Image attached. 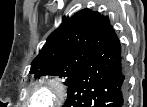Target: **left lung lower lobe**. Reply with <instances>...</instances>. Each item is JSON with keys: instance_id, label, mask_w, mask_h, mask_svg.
Returning <instances> with one entry per match:
<instances>
[{"instance_id": "obj_1", "label": "left lung lower lobe", "mask_w": 147, "mask_h": 107, "mask_svg": "<svg viewBox=\"0 0 147 107\" xmlns=\"http://www.w3.org/2000/svg\"><path fill=\"white\" fill-rule=\"evenodd\" d=\"M123 54L112 29L68 85L62 107H125Z\"/></svg>"}]
</instances>
